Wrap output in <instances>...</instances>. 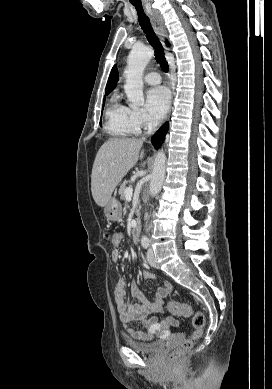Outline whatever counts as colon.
<instances>
[{
    "instance_id": "obj_1",
    "label": "colon",
    "mask_w": 272,
    "mask_h": 389,
    "mask_svg": "<svg viewBox=\"0 0 272 389\" xmlns=\"http://www.w3.org/2000/svg\"><path fill=\"white\" fill-rule=\"evenodd\" d=\"M107 239H109L114 246H119L122 242L121 234L117 232H107ZM167 309L170 313L177 316L188 317L192 314V308L190 305L185 303H180L177 301H170L167 304ZM192 324L194 327V332L191 338L186 339L175 351H173L169 356V361L172 365H180L185 358L190 354L194 341L198 339L203 332L205 325V316L201 312H196L192 316Z\"/></svg>"
}]
</instances>
